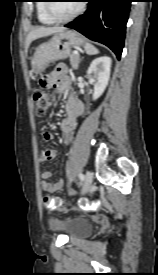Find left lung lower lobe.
I'll return each mask as SVG.
<instances>
[{"mask_svg": "<svg viewBox=\"0 0 158 275\" xmlns=\"http://www.w3.org/2000/svg\"><path fill=\"white\" fill-rule=\"evenodd\" d=\"M131 0H89L87 11L65 25L108 46L120 59Z\"/></svg>", "mask_w": 158, "mask_h": 275, "instance_id": "1", "label": "left lung lower lobe"}]
</instances>
